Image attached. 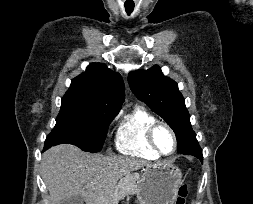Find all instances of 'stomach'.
Returning <instances> with one entry per match:
<instances>
[{"label":"stomach","mask_w":253,"mask_h":204,"mask_svg":"<svg viewBox=\"0 0 253 204\" xmlns=\"http://www.w3.org/2000/svg\"><path fill=\"white\" fill-rule=\"evenodd\" d=\"M181 183L178 167L169 162L148 164L136 187L139 204H174Z\"/></svg>","instance_id":"obj_1"}]
</instances>
